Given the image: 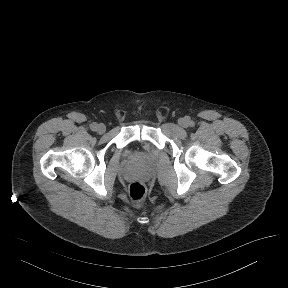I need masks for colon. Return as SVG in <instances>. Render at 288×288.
Masks as SVG:
<instances>
[{"mask_svg":"<svg viewBox=\"0 0 288 288\" xmlns=\"http://www.w3.org/2000/svg\"><path fill=\"white\" fill-rule=\"evenodd\" d=\"M128 196L131 203L139 206L144 202L147 190L140 182H132L128 187Z\"/></svg>","mask_w":288,"mask_h":288,"instance_id":"colon-1","label":"colon"}]
</instances>
